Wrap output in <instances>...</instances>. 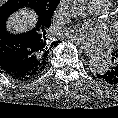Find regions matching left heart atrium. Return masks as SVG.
<instances>
[{"label":"left heart atrium","instance_id":"obj_1","mask_svg":"<svg viewBox=\"0 0 118 118\" xmlns=\"http://www.w3.org/2000/svg\"><path fill=\"white\" fill-rule=\"evenodd\" d=\"M66 35L86 49H97L111 42L109 31L103 26L78 25L69 29Z\"/></svg>","mask_w":118,"mask_h":118}]
</instances>
